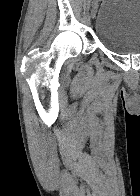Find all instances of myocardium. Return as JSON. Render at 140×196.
Instances as JSON below:
<instances>
[{
    "mask_svg": "<svg viewBox=\"0 0 140 196\" xmlns=\"http://www.w3.org/2000/svg\"><path fill=\"white\" fill-rule=\"evenodd\" d=\"M90 192H124V191H90Z\"/></svg>",
    "mask_w": 140,
    "mask_h": 196,
    "instance_id": "myocardium-1",
    "label": "myocardium"
}]
</instances>
